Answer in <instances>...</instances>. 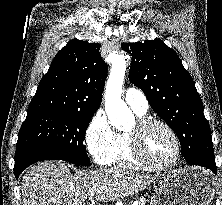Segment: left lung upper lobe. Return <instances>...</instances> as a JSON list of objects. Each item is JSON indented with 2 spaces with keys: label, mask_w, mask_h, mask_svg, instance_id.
Returning <instances> with one entry per match:
<instances>
[{
  "label": "left lung upper lobe",
  "mask_w": 222,
  "mask_h": 205,
  "mask_svg": "<svg viewBox=\"0 0 222 205\" xmlns=\"http://www.w3.org/2000/svg\"><path fill=\"white\" fill-rule=\"evenodd\" d=\"M131 53L129 80L142 89L152 109L177 134L181 154L215 161L203 103L176 52L161 40L122 43Z\"/></svg>",
  "instance_id": "obj_1"
}]
</instances>
